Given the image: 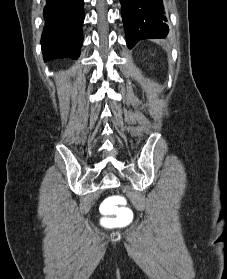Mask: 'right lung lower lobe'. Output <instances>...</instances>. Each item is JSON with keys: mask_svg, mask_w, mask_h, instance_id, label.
I'll list each match as a JSON object with an SVG mask.
<instances>
[{"mask_svg": "<svg viewBox=\"0 0 227 279\" xmlns=\"http://www.w3.org/2000/svg\"><path fill=\"white\" fill-rule=\"evenodd\" d=\"M83 0H46L41 36L44 60L77 59L82 45Z\"/></svg>", "mask_w": 227, "mask_h": 279, "instance_id": "right-lung-lower-lobe-1", "label": "right lung lower lobe"}]
</instances>
